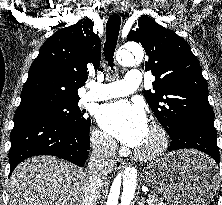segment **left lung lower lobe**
Segmentation results:
<instances>
[{"label":"left lung lower lobe","instance_id":"0a47b994","mask_svg":"<svg viewBox=\"0 0 222 205\" xmlns=\"http://www.w3.org/2000/svg\"><path fill=\"white\" fill-rule=\"evenodd\" d=\"M170 139L169 152L184 148L196 149L211 156L219 165L220 155L214 121L190 119L179 126Z\"/></svg>","mask_w":222,"mask_h":205}]
</instances>
